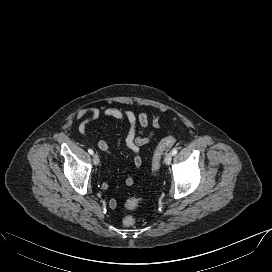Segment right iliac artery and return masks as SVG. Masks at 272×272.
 Masks as SVG:
<instances>
[{"mask_svg":"<svg viewBox=\"0 0 272 272\" xmlns=\"http://www.w3.org/2000/svg\"><path fill=\"white\" fill-rule=\"evenodd\" d=\"M88 152L93 155L94 154V151L92 149H88Z\"/></svg>","mask_w":272,"mask_h":272,"instance_id":"1","label":"right iliac artery"}]
</instances>
